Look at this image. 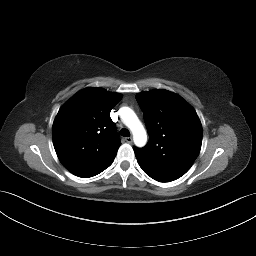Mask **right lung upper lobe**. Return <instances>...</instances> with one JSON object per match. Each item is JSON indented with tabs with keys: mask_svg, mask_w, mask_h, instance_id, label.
I'll return each mask as SVG.
<instances>
[{
	"mask_svg": "<svg viewBox=\"0 0 256 256\" xmlns=\"http://www.w3.org/2000/svg\"><path fill=\"white\" fill-rule=\"evenodd\" d=\"M121 98L118 93L91 87L62 106L53 123V144L60 162L71 173L115 158L121 142L110 111Z\"/></svg>",
	"mask_w": 256,
	"mask_h": 256,
	"instance_id": "right-lung-upper-lobe-1",
	"label": "right lung upper lobe"
}]
</instances>
